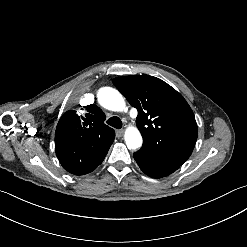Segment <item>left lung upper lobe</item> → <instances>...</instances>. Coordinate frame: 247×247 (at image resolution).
Here are the masks:
<instances>
[{
    "instance_id": "5c2ea615",
    "label": "left lung upper lobe",
    "mask_w": 247,
    "mask_h": 247,
    "mask_svg": "<svg viewBox=\"0 0 247 247\" xmlns=\"http://www.w3.org/2000/svg\"><path fill=\"white\" fill-rule=\"evenodd\" d=\"M113 84L138 110L136 123L143 137L142 147L183 164L198 136L194 113L183 96L149 75L117 77Z\"/></svg>"
}]
</instances>
